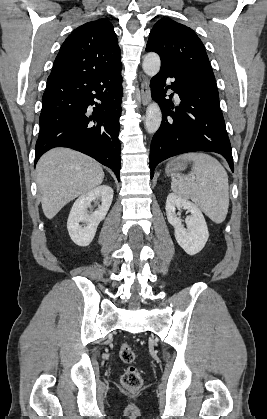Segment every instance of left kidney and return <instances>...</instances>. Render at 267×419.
I'll return each mask as SVG.
<instances>
[{
    "label": "left kidney",
    "instance_id": "obj_1",
    "mask_svg": "<svg viewBox=\"0 0 267 419\" xmlns=\"http://www.w3.org/2000/svg\"><path fill=\"white\" fill-rule=\"evenodd\" d=\"M176 208L185 209L191 213L185 223L188 230L182 226V220L176 214ZM166 215L168 222L175 229V239L181 248L189 255L199 253L205 246L209 233L205 218L197 205L170 193L166 200Z\"/></svg>",
    "mask_w": 267,
    "mask_h": 419
}]
</instances>
